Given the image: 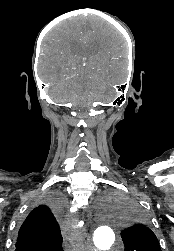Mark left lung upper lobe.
Returning <instances> with one entry per match:
<instances>
[{"mask_svg": "<svg viewBox=\"0 0 174 251\" xmlns=\"http://www.w3.org/2000/svg\"><path fill=\"white\" fill-rule=\"evenodd\" d=\"M129 212L134 224L121 233L125 251H161L145 217L136 207L130 208Z\"/></svg>", "mask_w": 174, "mask_h": 251, "instance_id": "obj_1", "label": "left lung upper lobe"}]
</instances>
